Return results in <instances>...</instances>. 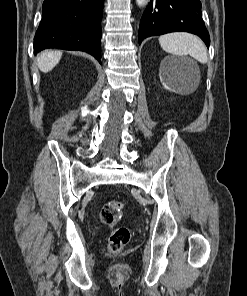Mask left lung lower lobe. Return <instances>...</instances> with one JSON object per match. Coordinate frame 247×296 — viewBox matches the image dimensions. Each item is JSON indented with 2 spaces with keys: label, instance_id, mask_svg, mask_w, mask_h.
<instances>
[{
  "label": "left lung lower lobe",
  "instance_id": "obj_1",
  "mask_svg": "<svg viewBox=\"0 0 247 296\" xmlns=\"http://www.w3.org/2000/svg\"><path fill=\"white\" fill-rule=\"evenodd\" d=\"M174 31L196 34L209 48L200 0H150L141 18L139 44L147 37Z\"/></svg>",
  "mask_w": 247,
  "mask_h": 296
}]
</instances>
